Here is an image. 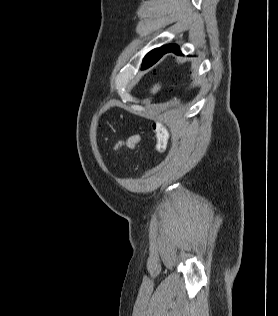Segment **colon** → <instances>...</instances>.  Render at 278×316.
Instances as JSON below:
<instances>
[{
  "label": "colon",
  "mask_w": 278,
  "mask_h": 316,
  "mask_svg": "<svg viewBox=\"0 0 278 316\" xmlns=\"http://www.w3.org/2000/svg\"><path fill=\"white\" fill-rule=\"evenodd\" d=\"M152 128L156 135V150L158 153H163L168 142V132L166 128L158 122H153Z\"/></svg>",
  "instance_id": "colon-1"
}]
</instances>
